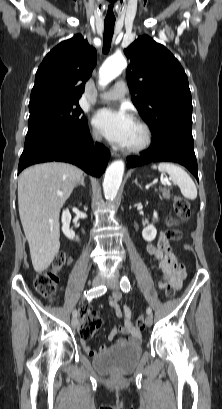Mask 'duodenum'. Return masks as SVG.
Here are the masks:
<instances>
[{
	"label": "duodenum",
	"instance_id": "obj_1",
	"mask_svg": "<svg viewBox=\"0 0 222 409\" xmlns=\"http://www.w3.org/2000/svg\"><path fill=\"white\" fill-rule=\"evenodd\" d=\"M76 241H77L78 243H80V238H79V237H76Z\"/></svg>",
	"mask_w": 222,
	"mask_h": 409
}]
</instances>
